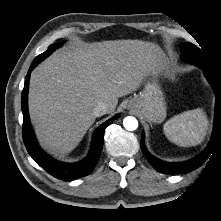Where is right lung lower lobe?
Here are the masks:
<instances>
[{"label": "right lung lower lobe", "instance_id": "98d812e1", "mask_svg": "<svg viewBox=\"0 0 221 221\" xmlns=\"http://www.w3.org/2000/svg\"><path fill=\"white\" fill-rule=\"evenodd\" d=\"M40 61H42V59L37 57L31 64L25 79L24 89L22 92L23 140L25 146L28 153L36 161V163L52 176L58 179H77L80 177H84L93 171L98 161L103 148V135L105 128L115 119H117L119 115H116L115 117L109 119L95 131L90 153L84 160L78 163L68 164L58 162L46 155L37 144L30 124L27 108V93L30 72Z\"/></svg>", "mask_w": 221, "mask_h": 221}]
</instances>
